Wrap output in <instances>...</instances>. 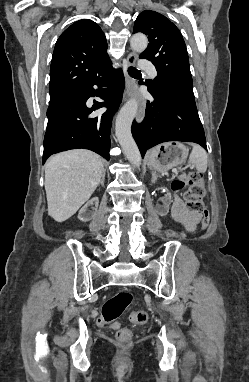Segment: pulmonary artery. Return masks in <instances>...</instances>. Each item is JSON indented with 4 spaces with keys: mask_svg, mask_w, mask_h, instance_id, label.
Returning <instances> with one entry per match:
<instances>
[{
    "mask_svg": "<svg viewBox=\"0 0 249 382\" xmlns=\"http://www.w3.org/2000/svg\"><path fill=\"white\" fill-rule=\"evenodd\" d=\"M140 67L144 70L149 71V73L151 74L152 77L157 76V72L151 63L146 62V61H142Z\"/></svg>",
    "mask_w": 249,
    "mask_h": 382,
    "instance_id": "obj_1",
    "label": "pulmonary artery"
}]
</instances>
